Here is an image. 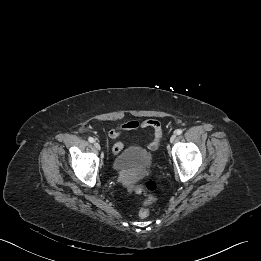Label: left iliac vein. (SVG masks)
<instances>
[{
	"instance_id": "left-iliac-vein-1",
	"label": "left iliac vein",
	"mask_w": 261,
	"mask_h": 261,
	"mask_svg": "<svg viewBox=\"0 0 261 261\" xmlns=\"http://www.w3.org/2000/svg\"><path fill=\"white\" fill-rule=\"evenodd\" d=\"M175 140H176V135L175 134L171 135L170 142L173 143Z\"/></svg>"
}]
</instances>
